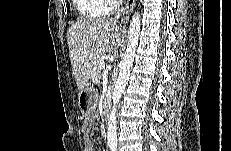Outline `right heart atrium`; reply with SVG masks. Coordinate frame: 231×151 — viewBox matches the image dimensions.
Returning <instances> with one entry per match:
<instances>
[{"label": "right heart atrium", "instance_id": "right-heart-atrium-1", "mask_svg": "<svg viewBox=\"0 0 231 151\" xmlns=\"http://www.w3.org/2000/svg\"><path fill=\"white\" fill-rule=\"evenodd\" d=\"M118 7V1L116 0H108L106 1V11L111 12L116 10Z\"/></svg>", "mask_w": 231, "mask_h": 151}]
</instances>
